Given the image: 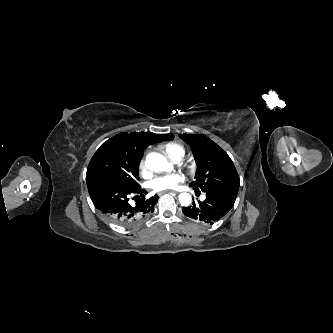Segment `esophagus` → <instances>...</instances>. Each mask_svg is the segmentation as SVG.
Listing matches in <instances>:
<instances>
[{
	"label": "esophagus",
	"mask_w": 333,
	"mask_h": 333,
	"mask_svg": "<svg viewBox=\"0 0 333 333\" xmlns=\"http://www.w3.org/2000/svg\"><path fill=\"white\" fill-rule=\"evenodd\" d=\"M174 193V194H177L178 192H176V191H172V190H166V191H164V192H161L160 193V195H162L163 193Z\"/></svg>",
	"instance_id": "esophagus-1"
}]
</instances>
